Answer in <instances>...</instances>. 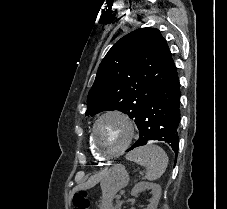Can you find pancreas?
Masks as SVG:
<instances>
[{
	"label": "pancreas",
	"instance_id": "cf45deb5",
	"mask_svg": "<svg viewBox=\"0 0 227 209\" xmlns=\"http://www.w3.org/2000/svg\"><path fill=\"white\" fill-rule=\"evenodd\" d=\"M115 202H116L117 204L114 203V204L112 205L111 209H119V208H121V207L123 206V205L121 204V202H122L121 200L118 199V200H116Z\"/></svg>",
	"mask_w": 227,
	"mask_h": 209
}]
</instances>
